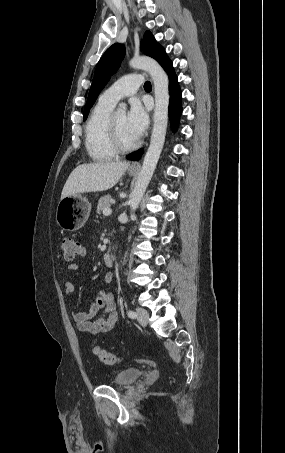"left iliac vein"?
Segmentation results:
<instances>
[{
    "instance_id": "1",
    "label": "left iliac vein",
    "mask_w": 285,
    "mask_h": 453,
    "mask_svg": "<svg viewBox=\"0 0 285 453\" xmlns=\"http://www.w3.org/2000/svg\"><path fill=\"white\" fill-rule=\"evenodd\" d=\"M136 312H137V319H138L139 323L142 326H146L148 323V318H149V313L147 312V310H145L141 307H138L136 309Z\"/></svg>"
}]
</instances>
